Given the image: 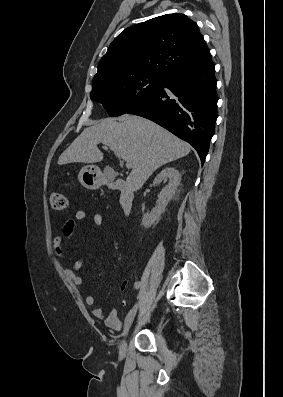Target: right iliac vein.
<instances>
[{
	"instance_id": "1",
	"label": "right iliac vein",
	"mask_w": 283,
	"mask_h": 397,
	"mask_svg": "<svg viewBox=\"0 0 283 397\" xmlns=\"http://www.w3.org/2000/svg\"><path fill=\"white\" fill-rule=\"evenodd\" d=\"M137 309H138V305L134 306L131 310V312L129 313V315L127 316L126 320H125V325H124V330L122 333V340L120 342L119 345V354L121 357H123L126 353V349H127V342H126V336L128 334V331L133 323V320L135 318V315L137 313Z\"/></svg>"
}]
</instances>
